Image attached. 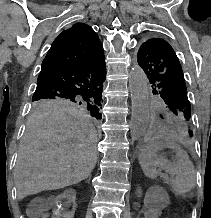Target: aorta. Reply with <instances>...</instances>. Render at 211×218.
Segmentation results:
<instances>
[{"mask_svg":"<svg viewBox=\"0 0 211 218\" xmlns=\"http://www.w3.org/2000/svg\"><path fill=\"white\" fill-rule=\"evenodd\" d=\"M129 88L132 102L131 130L132 138H140L149 122V97L150 85L148 79L139 67H133L130 78Z\"/></svg>","mask_w":211,"mask_h":218,"instance_id":"762f6f07","label":"aorta"}]
</instances>
